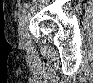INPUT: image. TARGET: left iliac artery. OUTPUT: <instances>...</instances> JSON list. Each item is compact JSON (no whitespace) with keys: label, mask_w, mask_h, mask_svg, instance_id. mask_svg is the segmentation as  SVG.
I'll list each match as a JSON object with an SVG mask.
<instances>
[{"label":"left iliac artery","mask_w":93,"mask_h":83,"mask_svg":"<svg viewBox=\"0 0 93 83\" xmlns=\"http://www.w3.org/2000/svg\"><path fill=\"white\" fill-rule=\"evenodd\" d=\"M28 5L24 6L23 10H22V15L20 16V20H22L23 16L26 15L27 10H28Z\"/></svg>","instance_id":"left-iliac-artery-1"}]
</instances>
